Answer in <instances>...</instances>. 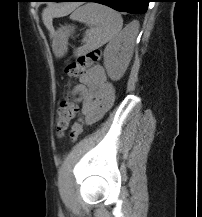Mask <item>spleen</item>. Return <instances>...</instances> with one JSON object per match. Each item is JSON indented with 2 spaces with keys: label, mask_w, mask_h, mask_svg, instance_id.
Here are the masks:
<instances>
[{
  "label": "spleen",
  "mask_w": 202,
  "mask_h": 217,
  "mask_svg": "<svg viewBox=\"0 0 202 217\" xmlns=\"http://www.w3.org/2000/svg\"><path fill=\"white\" fill-rule=\"evenodd\" d=\"M70 19L85 23L90 27L86 32L85 49L99 48L116 37L123 26V19L117 11L98 3H89L77 8ZM134 35L138 32V24L133 25ZM79 52V51H78Z\"/></svg>",
  "instance_id": "3e777b00"
}]
</instances>
